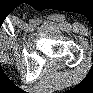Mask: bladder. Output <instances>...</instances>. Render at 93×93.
Instances as JSON below:
<instances>
[{
    "instance_id": "obj_1",
    "label": "bladder",
    "mask_w": 93,
    "mask_h": 93,
    "mask_svg": "<svg viewBox=\"0 0 93 93\" xmlns=\"http://www.w3.org/2000/svg\"><path fill=\"white\" fill-rule=\"evenodd\" d=\"M2 44H5V40L1 41Z\"/></svg>"
}]
</instances>
